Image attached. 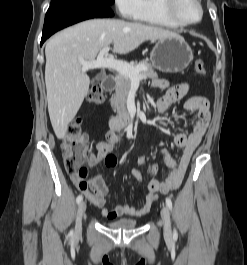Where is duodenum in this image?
Returning a JSON list of instances; mask_svg holds the SVG:
<instances>
[{
	"label": "duodenum",
	"instance_id": "1",
	"mask_svg": "<svg viewBox=\"0 0 247 265\" xmlns=\"http://www.w3.org/2000/svg\"><path fill=\"white\" fill-rule=\"evenodd\" d=\"M115 77L113 75H106L102 81V88L105 90H110L115 85ZM133 119L125 115H115L109 120V125L113 131L123 130L125 127L130 125Z\"/></svg>",
	"mask_w": 247,
	"mask_h": 265
}]
</instances>
